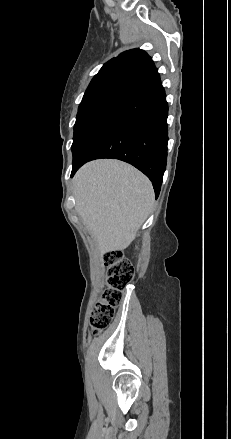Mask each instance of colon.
<instances>
[{
	"instance_id": "5ec220e1",
	"label": "colon",
	"mask_w": 231,
	"mask_h": 439,
	"mask_svg": "<svg viewBox=\"0 0 231 439\" xmlns=\"http://www.w3.org/2000/svg\"><path fill=\"white\" fill-rule=\"evenodd\" d=\"M104 260L109 270L107 286L90 317L91 331L95 336L101 334L114 318L123 291L134 276L132 265L123 258L120 250L108 251Z\"/></svg>"
}]
</instances>
